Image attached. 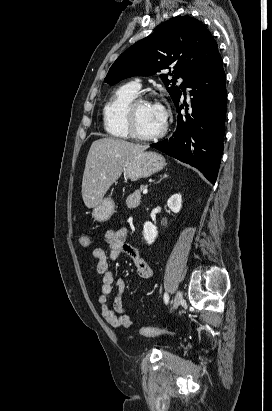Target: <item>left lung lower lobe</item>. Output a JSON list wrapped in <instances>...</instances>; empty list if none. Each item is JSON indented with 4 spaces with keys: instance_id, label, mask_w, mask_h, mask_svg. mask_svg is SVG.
Returning a JSON list of instances; mask_svg holds the SVG:
<instances>
[{
    "instance_id": "left-lung-lower-lobe-1",
    "label": "left lung lower lobe",
    "mask_w": 272,
    "mask_h": 411,
    "mask_svg": "<svg viewBox=\"0 0 272 411\" xmlns=\"http://www.w3.org/2000/svg\"><path fill=\"white\" fill-rule=\"evenodd\" d=\"M226 76L219 52L202 73L188 86L191 108L179 100L177 126L173 135L151 144L169 156L199 169L213 184L216 182L225 134ZM184 96L186 93L184 92ZM185 106V115L180 111Z\"/></svg>"
}]
</instances>
